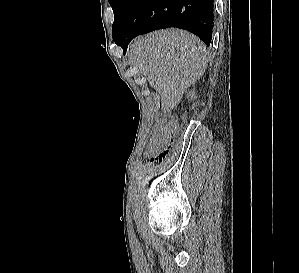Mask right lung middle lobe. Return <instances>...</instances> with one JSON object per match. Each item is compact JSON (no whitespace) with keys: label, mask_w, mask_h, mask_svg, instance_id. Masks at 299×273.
Returning <instances> with one entry per match:
<instances>
[{"label":"right lung middle lobe","mask_w":299,"mask_h":273,"mask_svg":"<svg viewBox=\"0 0 299 273\" xmlns=\"http://www.w3.org/2000/svg\"><path fill=\"white\" fill-rule=\"evenodd\" d=\"M133 1L134 0H109L114 12V22L112 25L113 40L117 37Z\"/></svg>","instance_id":"right-lung-middle-lobe-1"}]
</instances>
